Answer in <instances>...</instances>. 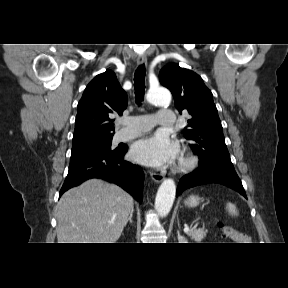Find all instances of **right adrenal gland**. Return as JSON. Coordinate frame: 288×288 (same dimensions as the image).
<instances>
[{
  "mask_svg": "<svg viewBox=\"0 0 288 288\" xmlns=\"http://www.w3.org/2000/svg\"><path fill=\"white\" fill-rule=\"evenodd\" d=\"M133 212H134V209L131 210L130 212V215H129V218L127 220V222L129 221L130 223H132V216H133Z\"/></svg>",
  "mask_w": 288,
  "mask_h": 288,
  "instance_id": "right-adrenal-gland-1",
  "label": "right adrenal gland"
}]
</instances>
